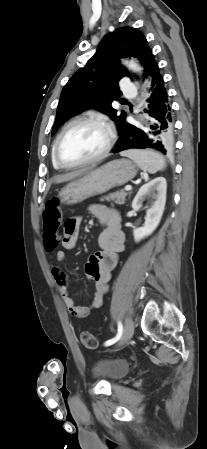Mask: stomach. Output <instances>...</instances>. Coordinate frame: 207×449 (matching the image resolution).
<instances>
[{"label": "stomach", "mask_w": 207, "mask_h": 449, "mask_svg": "<svg viewBox=\"0 0 207 449\" xmlns=\"http://www.w3.org/2000/svg\"><path fill=\"white\" fill-rule=\"evenodd\" d=\"M137 166L128 159H117L90 170L80 178L70 182L59 192V200L73 205L103 194L110 189L126 184L137 174Z\"/></svg>", "instance_id": "obj_1"}]
</instances>
